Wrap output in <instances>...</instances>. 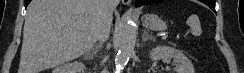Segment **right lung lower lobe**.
<instances>
[{
    "instance_id": "98d812e1",
    "label": "right lung lower lobe",
    "mask_w": 244,
    "mask_h": 73,
    "mask_svg": "<svg viewBox=\"0 0 244 73\" xmlns=\"http://www.w3.org/2000/svg\"><path fill=\"white\" fill-rule=\"evenodd\" d=\"M31 2V0H24V6L27 8L28 4Z\"/></svg>"
}]
</instances>
